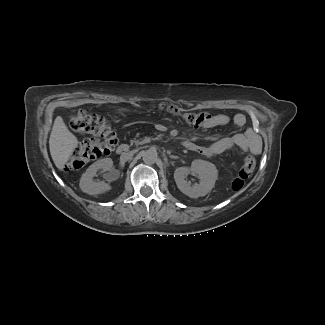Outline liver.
<instances>
[{
	"mask_svg": "<svg viewBox=\"0 0 325 325\" xmlns=\"http://www.w3.org/2000/svg\"><path fill=\"white\" fill-rule=\"evenodd\" d=\"M119 111H128L119 109ZM78 146L76 136L70 132L62 117L58 116L53 124L49 138L50 154L54 164L59 170H63L70 156Z\"/></svg>",
	"mask_w": 325,
	"mask_h": 325,
	"instance_id": "liver-1",
	"label": "liver"
}]
</instances>
